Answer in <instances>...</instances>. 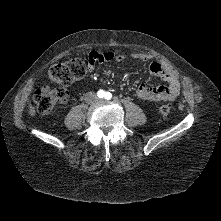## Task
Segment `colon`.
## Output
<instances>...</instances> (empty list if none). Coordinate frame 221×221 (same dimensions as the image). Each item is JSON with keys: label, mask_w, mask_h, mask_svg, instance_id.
I'll list each match as a JSON object with an SVG mask.
<instances>
[{"label": "colon", "mask_w": 221, "mask_h": 221, "mask_svg": "<svg viewBox=\"0 0 221 221\" xmlns=\"http://www.w3.org/2000/svg\"><path fill=\"white\" fill-rule=\"evenodd\" d=\"M89 70L88 64L82 59L74 58L65 63L54 65L49 70L50 79L63 86L68 85L78 79L83 78ZM69 93L63 88H51L42 86L33 95L34 102L41 114L49 113L57 105L64 103L68 99ZM171 111L169 105H161L158 113L167 116Z\"/></svg>", "instance_id": "obj_1"}]
</instances>
